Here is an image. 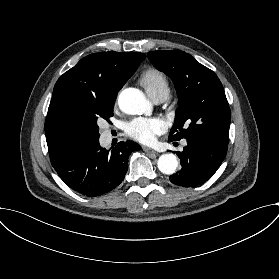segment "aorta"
Returning a JSON list of instances; mask_svg holds the SVG:
<instances>
[{
	"mask_svg": "<svg viewBox=\"0 0 279 279\" xmlns=\"http://www.w3.org/2000/svg\"><path fill=\"white\" fill-rule=\"evenodd\" d=\"M118 105L123 112L130 115H139L151 110L143 92L136 88L124 89L119 95ZM157 165L163 174L171 175L178 167V160L173 153H166L159 157Z\"/></svg>",
	"mask_w": 279,
	"mask_h": 279,
	"instance_id": "aorta-1",
	"label": "aorta"
}]
</instances>
